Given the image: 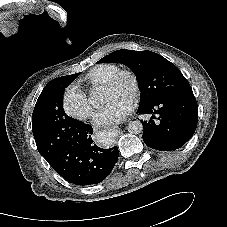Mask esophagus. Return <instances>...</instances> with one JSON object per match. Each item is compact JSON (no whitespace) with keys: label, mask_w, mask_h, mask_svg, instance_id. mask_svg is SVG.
I'll return each instance as SVG.
<instances>
[{"label":"esophagus","mask_w":227,"mask_h":227,"mask_svg":"<svg viewBox=\"0 0 227 227\" xmlns=\"http://www.w3.org/2000/svg\"><path fill=\"white\" fill-rule=\"evenodd\" d=\"M115 129H116L115 127L114 128H111L110 131H115Z\"/></svg>","instance_id":"34e87169"}]
</instances>
